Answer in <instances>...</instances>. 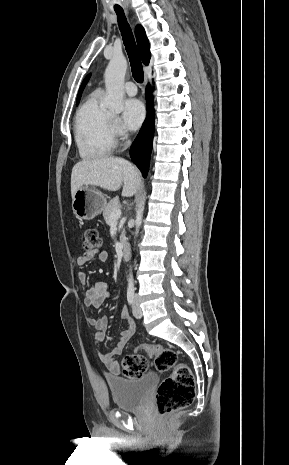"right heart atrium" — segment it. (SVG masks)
Wrapping results in <instances>:
<instances>
[{
    "mask_svg": "<svg viewBox=\"0 0 289 465\" xmlns=\"http://www.w3.org/2000/svg\"><path fill=\"white\" fill-rule=\"evenodd\" d=\"M111 127H112V132L114 135L121 137V138H124L126 136L118 118L116 117L112 118Z\"/></svg>",
    "mask_w": 289,
    "mask_h": 465,
    "instance_id": "right-heart-atrium-1",
    "label": "right heart atrium"
}]
</instances>
